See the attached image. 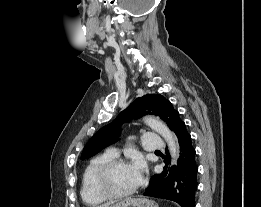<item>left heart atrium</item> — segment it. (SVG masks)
<instances>
[{
  "mask_svg": "<svg viewBox=\"0 0 261 207\" xmlns=\"http://www.w3.org/2000/svg\"><path fill=\"white\" fill-rule=\"evenodd\" d=\"M130 166L134 173L136 184H139L142 180V176L145 170V163L140 157H137Z\"/></svg>",
  "mask_w": 261,
  "mask_h": 207,
  "instance_id": "1",
  "label": "left heart atrium"
}]
</instances>
